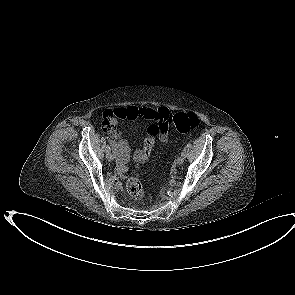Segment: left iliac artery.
I'll use <instances>...</instances> for the list:
<instances>
[{
	"instance_id": "1",
	"label": "left iliac artery",
	"mask_w": 295,
	"mask_h": 295,
	"mask_svg": "<svg viewBox=\"0 0 295 295\" xmlns=\"http://www.w3.org/2000/svg\"><path fill=\"white\" fill-rule=\"evenodd\" d=\"M181 156L186 157V150L185 149L182 151Z\"/></svg>"
}]
</instances>
